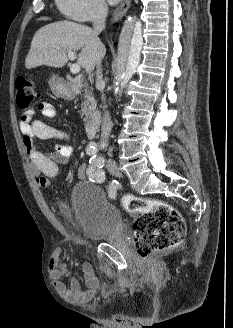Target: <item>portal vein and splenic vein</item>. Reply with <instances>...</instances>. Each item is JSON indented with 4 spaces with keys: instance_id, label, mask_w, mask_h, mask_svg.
Wrapping results in <instances>:
<instances>
[{
    "instance_id": "portal-vein-and-splenic-vein-1",
    "label": "portal vein and splenic vein",
    "mask_w": 233,
    "mask_h": 328,
    "mask_svg": "<svg viewBox=\"0 0 233 328\" xmlns=\"http://www.w3.org/2000/svg\"><path fill=\"white\" fill-rule=\"evenodd\" d=\"M68 57L70 60H75V53L73 51H68ZM81 68L78 64H72V66L70 67V71L73 74H78L80 72Z\"/></svg>"
}]
</instances>
